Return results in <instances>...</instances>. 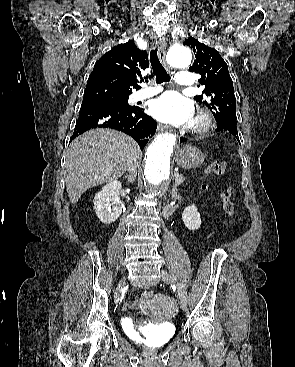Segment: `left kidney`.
I'll return each mask as SVG.
<instances>
[{
	"instance_id": "left-kidney-1",
	"label": "left kidney",
	"mask_w": 295,
	"mask_h": 367,
	"mask_svg": "<svg viewBox=\"0 0 295 367\" xmlns=\"http://www.w3.org/2000/svg\"><path fill=\"white\" fill-rule=\"evenodd\" d=\"M182 220L185 226L192 231L198 230L201 226V217L195 205L188 206L182 213Z\"/></svg>"
}]
</instances>
